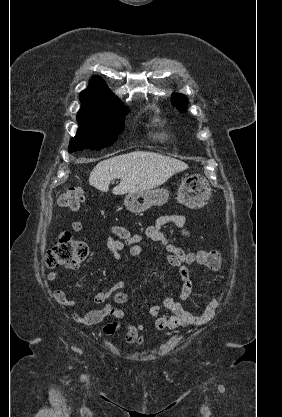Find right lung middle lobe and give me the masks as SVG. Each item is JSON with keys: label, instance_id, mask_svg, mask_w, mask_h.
I'll list each match as a JSON object with an SVG mask.
<instances>
[{"label": "right lung middle lobe", "instance_id": "right-lung-middle-lobe-1", "mask_svg": "<svg viewBox=\"0 0 282 417\" xmlns=\"http://www.w3.org/2000/svg\"><path fill=\"white\" fill-rule=\"evenodd\" d=\"M79 128L70 140L69 152L100 150L112 145L124 128L128 109L117 97L80 99Z\"/></svg>", "mask_w": 282, "mask_h": 417}]
</instances>
